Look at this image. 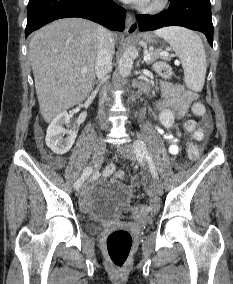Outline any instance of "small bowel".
I'll return each instance as SVG.
<instances>
[{"instance_id":"small-bowel-1","label":"small bowel","mask_w":233,"mask_h":284,"mask_svg":"<svg viewBox=\"0 0 233 284\" xmlns=\"http://www.w3.org/2000/svg\"><path fill=\"white\" fill-rule=\"evenodd\" d=\"M161 90L164 95V101L161 103L162 108H171L175 111L177 116H183L187 110L189 109L192 102L196 99V95L193 92L187 91L181 85H176L168 82H163L161 84ZM195 124V128L193 132V138L195 140H202L210 130L211 119L208 115L202 117L200 125L197 127ZM157 131L163 135L165 140L169 145V152L173 155L179 152V146L177 144L178 135L173 134L171 132H166L162 128L157 127ZM51 163L55 167H61L64 163V160L61 158H54L51 160ZM86 202L85 204H87Z\"/></svg>"}]
</instances>
